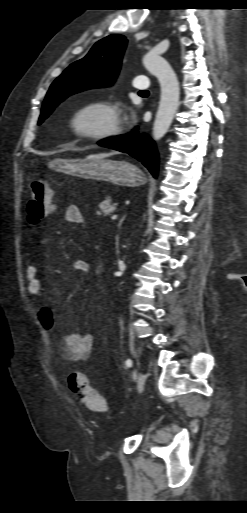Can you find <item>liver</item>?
Wrapping results in <instances>:
<instances>
[{"label":"liver","instance_id":"liver-1","mask_svg":"<svg viewBox=\"0 0 247 513\" xmlns=\"http://www.w3.org/2000/svg\"><path fill=\"white\" fill-rule=\"evenodd\" d=\"M115 154H117V153L116 152H111L109 154H105V153H103V154H92V155L87 156V158L88 159H98V158H105L107 156L115 155Z\"/></svg>","mask_w":247,"mask_h":513}]
</instances>
